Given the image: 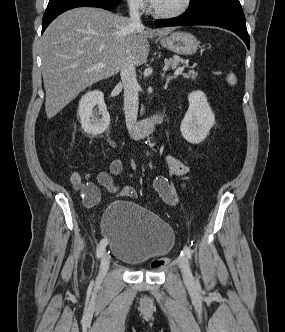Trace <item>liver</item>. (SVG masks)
<instances>
[{"label":"liver","mask_w":285,"mask_h":332,"mask_svg":"<svg viewBox=\"0 0 285 332\" xmlns=\"http://www.w3.org/2000/svg\"><path fill=\"white\" fill-rule=\"evenodd\" d=\"M174 28L146 29L99 8H75L57 17L42 36V76L48 119L81 91L116 75L127 59L142 65L149 55L148 38ZM98 63L105 67L96 68Z\"/></svg>","instance_id":"1"}]
</instances>
